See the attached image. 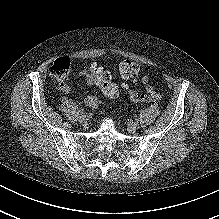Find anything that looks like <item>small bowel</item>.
<instances>
[{
	"label": "small bowel",
	"instance_id": "c3829d8e",
	"mask_svg": "<svg viewBox=\"0 0 219 219\" xmlns=\"http://www.w3.org/2000/svg\"><path fill=\"white\" fill-rule=\"evenodd\" d=\"M93 68H100V67L97 66L96 64H91L90 66L82 69L78 74L79 77L85 79L86 83L89 86L97 85L96 74L92 71ZM141 83L143 85L147 86L146 87L147 91L154 90L153 87L151 85H149V78L147 76H143L141 78ZM59 88L62 92L66 93V94L70 93V87L66 83H60ZM83 100H84L85 104H87L88 106H90L92 108H97L101 104V99L95 95L85 97Z\"/></svg>",
	"mask_w": 219,
	"mask_h": 219
}]
</instances>
